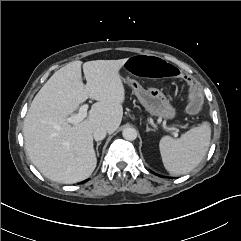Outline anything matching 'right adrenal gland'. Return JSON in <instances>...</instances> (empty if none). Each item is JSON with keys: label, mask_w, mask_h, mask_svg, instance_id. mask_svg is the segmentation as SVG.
Segmentation results:
<instances>
[{"label": "right adrenal gland", "mask_w": 241, "mask_h": 241, "mask_svg": "<svg viewBox=\"0 0 241 241\" xmlns=\"http://www.w3.org/2000/svg\"><path fill=\"white\" fill-rule=\"evenodd\" d=\"M101 142H98L97 145H96V152H97V156H99V151H98V148L100 146Z\"/></svg>", "instance_id": "1"}]
</instances>
